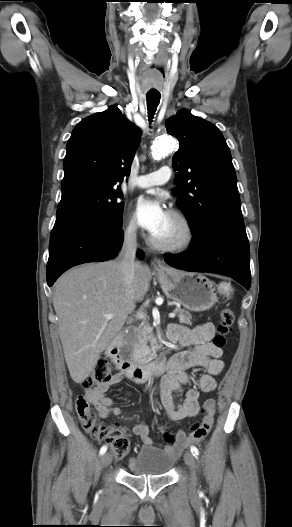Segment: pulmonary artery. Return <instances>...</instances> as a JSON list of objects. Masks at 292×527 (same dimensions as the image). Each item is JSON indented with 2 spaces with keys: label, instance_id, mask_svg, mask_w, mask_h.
Here are the masks:
<instances>
[{
  "label": "pulmonary artery",
  "instance_id": "1",
  "mask_svg": "<svg viewBox=\"0 0 292 527\" xmlns=\"http://www.w3.org/2000/svg\"><path fill=\"white\" fill-rule=\"evenodd\" d=\"M170 177L171 169L167 166H163L155 172L137 177L135 185L140 188L160 186L167 183Z\"/></svg>",
  "mask_w": 292,
  "mask_h": 527
}]
</instances>
